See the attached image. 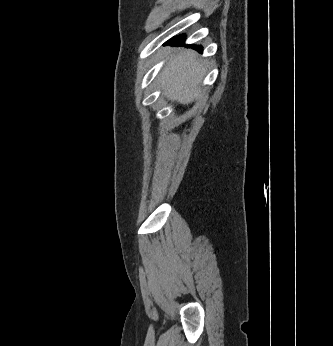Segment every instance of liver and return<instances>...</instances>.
Returning <instances> with one entry per match:
<instances>
[{
    "label": "liver",
    "mask_w": 333,
    "mask_h": 346,
    "mask_svg": "<svg viewBox=\"0 0 333 346\" xmlns=\"http://www.w3.org/2000/svg\"><path fill=\"white\" fill-rule=\"evenodd\" d=\"M204 61L197 53L185 49L174 55L159 74L160 84L168 99L189 104L198 98L205 75Z\"/></svg>",
    "instance_id": "obj_1"
}]
</instances>
